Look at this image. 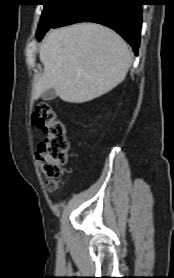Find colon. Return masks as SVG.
Instances as JSON below:
<instances>
[{
  "label": "colon",
  "instance_id": "1",
  "mask_svg": "<svg viewBox=\"0 0 174 278\" xmlns=\"http://www.w3.org/2000/svg\"><path fill=\"white\" fill-rule=\"evenodd\" d=\"M32 124L44 133V139L36 152V159L46 177L47 189L53 191L57 188V181L62 176L63 166L67 162L69 142L65 126L47 103H39L35 107Z\"/></svg>",
  "mask_w": 174,
  "mask_h": 278
}]
</instances>
